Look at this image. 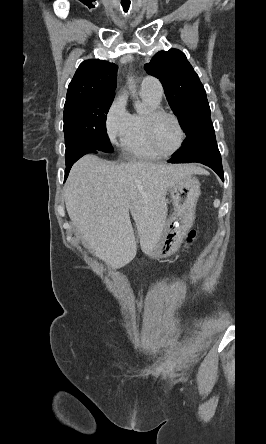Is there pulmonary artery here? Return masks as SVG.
<instances>
[{
  "label": "pulmonary artery",
  "mask_w": 266,
  "mask_h": 444,
  "mask_svg": "<svg viewBox=\"0 0 266 444\" xmlns=\"http://www.w3.org/2000/svg\"><path fill=\"white\" fill-rule=\"evenodd\" d=\"M140 92L160 102L163 96V88L160 81L152 76H146L141 82Z\"/></svg>",
  "instance_id": "obj_1"
}]
</instances>
